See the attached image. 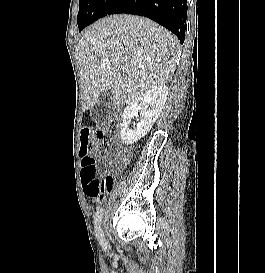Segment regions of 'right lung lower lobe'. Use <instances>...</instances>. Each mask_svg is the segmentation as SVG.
<instances>
[{
	"mask_svg": "<svg viewBox=\"0 0 265 273\" xmlns=\"http://www.w3.org/2000/svg\"><path fill=\"white\" fill-rule=\"evenodd\" d=\"M187 0H117L106 15L133 14L148 17L185 39Z\"/></svg>",
	"mask_w": 265,
	"mask_h": 273,
	"instance_id": "obj_1",
	"label": "right lung lower lobe"
}]
</instances>
